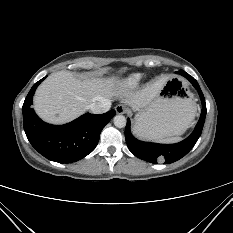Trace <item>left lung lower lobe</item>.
Segmentation results:
<instances>
[{
  "instance_id": "left-lung-lower-lobe-1",
  "label": "left lung lower lobe",
  "mask_w": 233,
  "mask_h": 233,
  "mask_svg": "<svg viewBox=\"0 0 233 233\" xmlns=\"http://www.w3.org/2000/svg\"><path fill=\"white\" fill-rule=\"evenodd\" d=\"M177 73L187 78L198 91L202 102L201 116L192 134L185 140L176 144H157L136 139L130 130V120L127 119L125 139L128 149L136 157L150 163L157 164L158 161H164L166 164H170L181 159L194 147L203 129L206 116V103L200 86L197 81L185 71L180 70Z\"/></svg>"
}]
</instances>
